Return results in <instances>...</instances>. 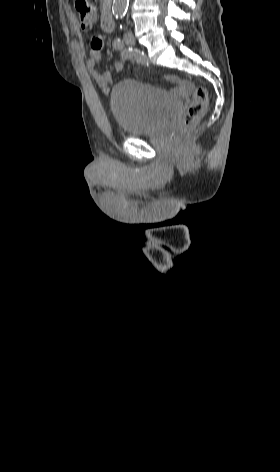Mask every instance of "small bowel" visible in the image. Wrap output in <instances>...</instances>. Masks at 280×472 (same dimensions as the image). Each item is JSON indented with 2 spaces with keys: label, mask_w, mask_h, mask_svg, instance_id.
<instances>
[{
  "label": "small bowel",
  "mask_w": 280,
  "mask_h": 472,
  "mask_svg": "<svg viewBox=\"0 0 280 472\" xmlns=\"http://www.w3.org/2000/svg\"><path fill=\"white\" fill-rule=\"evenodd\" d=\"M102 59H103V55H102L101 38L99 36H94L91 40V49H90L89 58L87 60V68L89 70L91 78L103 89L104 93H108L109 86L112 83L111 71H106L102 74H99L95 70V66L99 64L102 61ZM126 60L127 58H125L121 54L119 60L114 65V70L121 71L124 67ZM165 80L172 84H175L177 86L178 92H187L190 89V85L188 83L180 80L176 76L167 75L165 76Z\"/></svg>",
  "instance_id": "small-bowel-1"
}]
</instances>
